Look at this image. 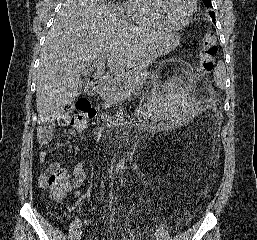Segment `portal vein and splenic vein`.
<instances>
[{"instance_id": "1", "label": "portal vein and splenic vein", "mask_w": 257, "mask_h": 240, "mask_svg": "<svg viewBox=\"0 0 257 240\" xmlns=\"http://www.w3.org/2000/svg\"><path fill=\"white\" fill-rule=\"evenodd\" d=\"M107 57H108L107 54L99 55V56L97 57L98 63H99V64H102L103 60H105ZM130 94H131V90H126V91H124V92H120V93L117 95V98H118V99H120V98L122 99V98H125V97L129 96Z\"/></svg>"}]
</instances>
